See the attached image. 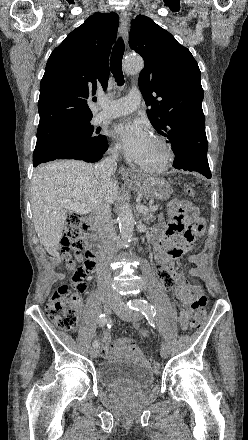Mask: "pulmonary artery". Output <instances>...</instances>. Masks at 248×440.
I'll return each mask as SVG.
<instances>
[{
    "label": "pulmonary artery",
    "instance_id": "pulmonary-artery-1",
    "mask_svg": "<svg viewBox=\"0 0 248 440\" xmlns=\"http://www.w3.org/2000/svg\"><path fill=\"white\" fill-rule=\"evenodd\" d=\"M141 102V93L138 89H132L125 97L109 100L100 97L97 103L99 112L93 117L94 122L99 123L106 119L116 118L135 111Z\"/></svg>",
    "mask_w": 248,
    "mask_h": 440
}]
</instances>
